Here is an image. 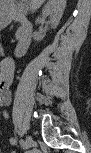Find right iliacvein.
<instances>
[{
  "instance_id": "right-iliac-vein-1",
  "label": "right iliac vein",
  "mask_w": 91,
  "mask_h": 153,
  "mask_svg": "<svg viewBox=\"0 0 91 153\" xmlns=\"http://www.w3.org/2000/svg\"><path fill=\"white\" fill-rule=\"evenodd\" d=\"M32 144H33V140L31 138V136H27L25 148L26 149L30 148L32 146Z\"/></svg>"
}]
</instances>
